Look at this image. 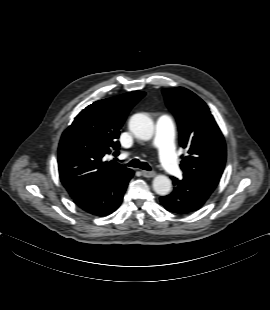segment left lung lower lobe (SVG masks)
I'll use <instances>...</instances> for the list:
<instances>
[{
	"label": "left lung lower lobe",
	"mask_w": 270,
	"mask_h": 310,
	"mask_svg": "<svg viewBox=\"0 0 270 310\" xmlns=\"http://www.w3.org/2000/svg\"><path fill=\"white\" fill-rule=\"evenodd\" d=\"M173 192L160 198L162 205L170 212L186 214L200 209L215 190L217 184L193 180L187 177L179 180L171 177Z\"/></svg>",
	"instance_id": "0a47b994"
}]
</instances>
